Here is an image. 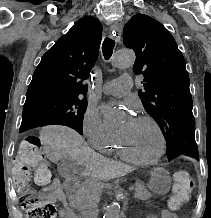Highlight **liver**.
<instances>
[{
    "label": "liver",
    "instance_id": "liver-1",
    "mask_svg": "<svg viewBox=\"0 0 211 218\" xmlns=\"http://www.w3.org/2000/svg\"><path fill=\"white\" fill-rule=\"evenodd\" d=\"M40 140L45 142L51 156L54 158H72L77 166H84V174L99 178V180H113L126 176L128 166L113 162L92 152L80 134L66 126H47L41 130Z\"/></svg>",
    "mask_w": 211,
    "mask_h": 218
}]
</instances>
